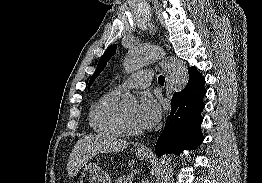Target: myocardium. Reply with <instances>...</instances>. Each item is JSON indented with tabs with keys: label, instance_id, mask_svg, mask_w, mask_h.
Returning a JSON list of instances; mask_svg holds the SVG:
<instances>
[{
	"label": "myocardium",
	"instance_id": "myocardium-1",
	"mask_svg": "<svg viewBox=\"0 0 262 183\" xmlns=\"http://www.w3.org/2000/svg\"><path fill=\"white\" fill-rule=\"evenodd\" d=\"M123 124L125 127V130L130 135H141L143 134V130L137 126H135L126 116L125 113H123Z\"/></svg>",
	"mask_w": 262,
	"mask_h": 183
}]
</instances>
